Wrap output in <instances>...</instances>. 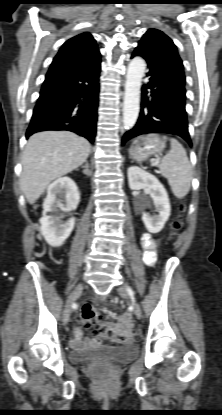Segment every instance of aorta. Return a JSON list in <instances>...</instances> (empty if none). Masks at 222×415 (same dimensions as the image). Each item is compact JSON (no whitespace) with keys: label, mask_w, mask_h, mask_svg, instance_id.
I'll return each instance as SVG.
<instances>
[{"label":"aorta","mask_w":222,"mask_h":415,"mask_svg":"<svg viewBox=\"0 0 222 415\" xmlns=\"http://www.w3.org/2000/svg\"><path fill=\"white\" fill-rule=\"evenodd\" d=\"M145 69L146 63L141 57L132 59L128 66L123 102V125L126 129L135 125L139 115L140 89Z\"/></svg>","instance_id":"aorta-1"}]
</instances>
